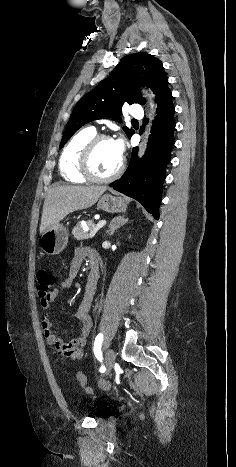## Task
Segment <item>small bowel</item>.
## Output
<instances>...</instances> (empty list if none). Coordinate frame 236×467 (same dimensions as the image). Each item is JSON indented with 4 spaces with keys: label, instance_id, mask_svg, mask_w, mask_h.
<instances>
[{
    "label": "small bowel",
    "instance_id": "obj_1",
    "mask_svg": "<svg viewBox=\"0 0 236 467\" xmlns=\"http://www.w3.org/2000/svg\"><path fill=\"white\" fill-rule=\"evenodd\" d=\"M89 261L97 265V253L86 247H80L75 250L70 263L68 276L64 278L59 286L55 288L48 296L41 299V307L48 311L51 303L58 297L60 291L70 289L74 278L77 276L83 262ZM97 289V280L87 279L82 300L76 310L75 317L80 323V336L66 343L52 330L51 316L47 312L41 320L43 336L48 345L52 346L56 353L63 359L79 360L83 356V349L86 346L87 338L92 329V320L89 315L91 304Z\"/></svg>",
    "mask_w": 236,
    "mask_h": 467
}]
</instances>
